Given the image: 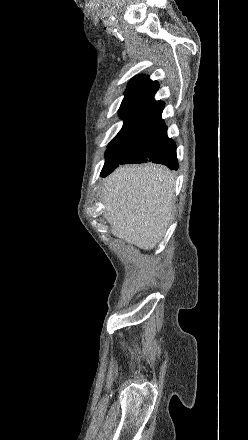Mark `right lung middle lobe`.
I'll list each match as a JSON object with an SVG mask.
<instances>
[{
    "label": "right lung middle lobe",
    "instance_id": "dd1d6c3e",
    "mask_svg": "<svg viewBox=\"0 0 248 440\" xmlns=\"http://www.w3.org/2000/svg\"><path fill=\"white\" fill-rule=\"evenodd\" d=\"M133 132L126 131L120 133L110 142L106 151V161L101 171V176L110 174L120 165L128 138Z\"/></svg>",
    "mask_w": 248,
    "mask_h": 440
}]
</instances>
